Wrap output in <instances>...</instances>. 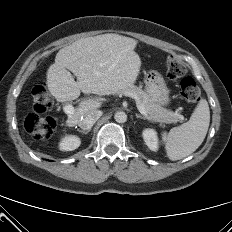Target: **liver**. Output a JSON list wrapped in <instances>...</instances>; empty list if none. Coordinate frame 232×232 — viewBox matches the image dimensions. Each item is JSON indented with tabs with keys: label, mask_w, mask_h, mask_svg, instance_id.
Here are the masks:
<instances>
[{
	"label": "liver",
	"mask_w": 232,
	"mask_h": 232,
	"mask_svg": "<svg viewBox=\"0 0 232 232\" xmlns=\"http://www.w3.org/2000/svg\"><path fill=\"white\" fill-rule=\"evenodd\" d=\"M136 45L133 38L107 33L79 39L60 49L46 74L49 92L58 102H66L77 99L81 92L104 96L132 86L141 66ZM101 106L98 98L84 99L68 114L66 126H76L86 113Z\"/></svg>",
	"instance_id": "liver-1"
}]
</instances>
